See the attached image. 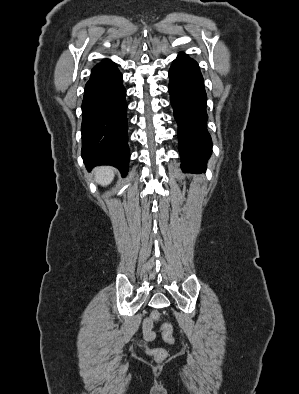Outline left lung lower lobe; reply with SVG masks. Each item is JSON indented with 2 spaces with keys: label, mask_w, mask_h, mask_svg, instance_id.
Wrapping results in <instances>:
<instances>
[{
  "label": "left lung lower lobe",
  "mask_w": 299,
  "mask_h": 394,
  "mask_svg": "<svg viewBox=\"0 0 299 394\" xmlns=\"http://www.w3.org/2000/svg\"><path fill=\"white\" fill-rule=\"evenodd\" d=\"M170 101L178 123L179 151L184 172L203 171L211 154L206 129L207 96L196 61L180 53L169 70Z\"/></svg>",
  "instance_id": "left-lung-lower-lobe-1"
}]
</instances>
